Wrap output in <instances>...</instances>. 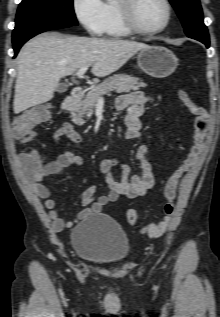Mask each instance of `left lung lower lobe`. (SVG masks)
<instances>
[{
	"label": "left lung lower lobe",
	"instance_id": "1",
	"mask_svg": "<svg viewBox=\"0 0 220 317\" xmlns=\"http://www.w3.org/2000/svg\"><path fill=\"white\" fill-rule=\"evenodd\" d=\"M190 38H193V39H196L202 43H204L207 47H209V37L207 38H200V37H197V36H189Z\"/></svg>",
	"mask_w": 220,
	"mask_h": 317
}]
</instances>
